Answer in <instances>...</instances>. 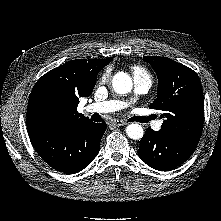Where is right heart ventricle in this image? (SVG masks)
<instances>
[{
	"label": "right heart ventricle",
	"mask_w": 221,
	"mask_h": 221,
	"mask_svg": "<svg viewBox=\"0 0 221 221\" xmlns=\"http://www.w3.org/2000/svg\"><path fill=\"white\" fill-rule=\"evenodd\" d=\"M132 71H133L134 77H136V76H146V77L150 78V75L147 73V71L144 68L140 67V66L133 67Z\"/></svg>",
	"instance_id": "right-heart-ventricle-1"
}]
</instances>
